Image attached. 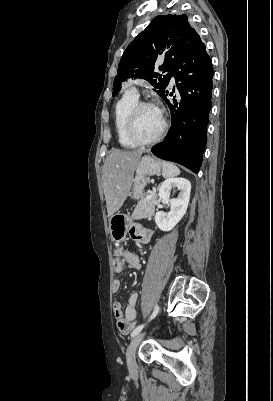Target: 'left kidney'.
Wrapping results in <instances>:
<instances>
[{
    "mask_svg": "<svg viewBox=\"0 0 273 401\" xmlns=\"http://www.w3.org/2000/svg\"><path fill=\"white\" fill-rule=\"evenodd\" d=\"M173 186H177L180 192L177 198H170L169 213L158 211L155 215V223L161 231H172L187 211L191 192V182L187 178H166L159 188V198H169V190Z\"/></svg>",
    "mask_w": 273,
    "mask_h": 401,
    "instance_id": "left-kidney-1",
    "label": "left kidney"
}]
</instances>
